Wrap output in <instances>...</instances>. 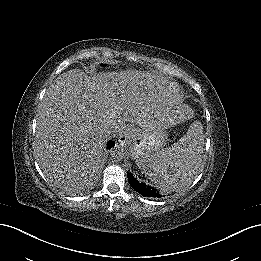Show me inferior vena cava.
Returning <instances> with one entry per match:
<instances>
[{
  "label": "inferior vena cava",
  "mask_w": 261,
  "mask_h": 261,
  "mask_svg": "<svg viewBox=\"0 0 261 261\" xmlns=\"http://www.w3.org/2000/svg\"><path fill=\"white\" fill-rule=\"evenodd\" d=\"M112 132H114L113 129H107V130L105 131V133H106L107 136H109Z\"/></svg>",
  "instance_id": "inferior-vena-cava-1"
}]
</instances>
